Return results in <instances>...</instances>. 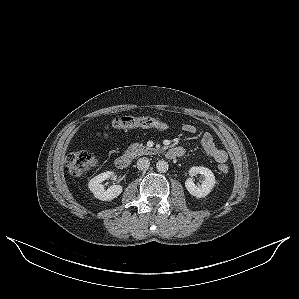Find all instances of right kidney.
<instances>
[{
	"instance_id": "obj_1",
	"label": "right kidney",
	"mask_w": 299,
	"mask_h": 299,
	"mask_svg": "<svg viewBox=\"0 0 299 299\" xmlns=\"http://www.w3.org/2000/svg\"><path fill=\"white\" fill-rule=\"evenodd\" d=\"M113 176V172L107 171L95 176L89 181L88 187L95 198L102 201H109L118 197L122 193L123 188L120 185H112L106 190L101 184L104 180Z\"/></svg>"
}]
</instances>
